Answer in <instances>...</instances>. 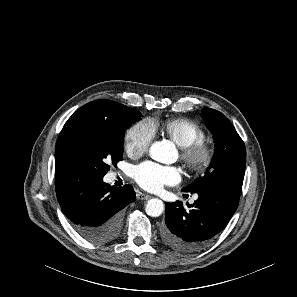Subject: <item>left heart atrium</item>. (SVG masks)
Instances as JSON below:
<instances>
[{"instance_id": "39dd6f15", "label": "left heart atrium", "mask_w": 297, "mask_h": 297, "mask_svg": "<svg viewBox=\"0 0 297 297\" xmlns=\"http://www.w3.org/2000/svg\"><path fill=\"white\" fill-rule=\"evenodd\" d=\"M136 182L148 191H158L164 185H174L181 179L178 168L144 162L133 169Z\"/></svg>"}]
</instances>
